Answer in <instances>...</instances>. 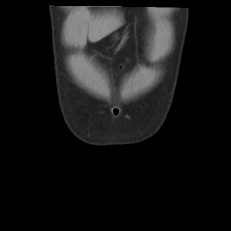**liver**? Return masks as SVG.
Returning a JSON list of instances; mask_svg holds the SVG:
<instances>
[{"label":"liver","mask_w":231,"mask_h":231,"mask_svg":"<svg viewBox=\"0 0 231 231\" xmlns=\"http://www.w3.org/2000/svg\"><path fill=\"white\" fill-rule=\"evenodd\" d=\"M122 24V19L113 13L92 20L86 8H75L69 16L67 38L71 44L82 48L86 45L87 37L91 42H97Z\"/></svg>","instance_id":"obj_1"}]
</instances>
